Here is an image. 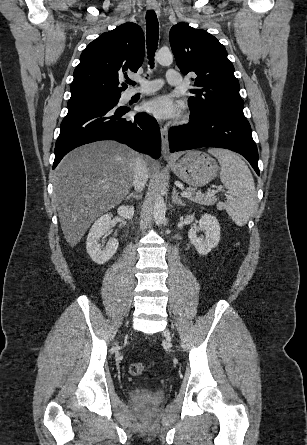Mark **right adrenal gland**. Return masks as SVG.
<instances>
[{
  "label": "right adrenal gland",
  "instance_id": "right-adrenal-gland-1",
  "mask_svg": "<svg viewBox=\"0 0 307 445\" xmlns=\"http://www.w3.org/2000/svg\"><path fill=\"white\" fill-rule=\"evenodd\" d=\"M128 198H136V200H139V198H142V194H141V192H139V194H135V192H131V194H128V196H126V200H128Z\"/></svg>",
  "mask_w": 307,
  "mask_h": 445
}]
</instances>
